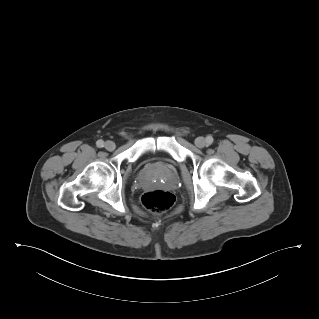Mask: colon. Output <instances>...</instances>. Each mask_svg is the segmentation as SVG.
<instances>
[{
  "mask_svg": "<svg viewBox=\"0 0 319 319\" xmlns=\"http://www.w3.org/2000/svg\"><path fill=\"white\" fill-rule=\"evenodd\" d=\"M141 202L148 211L159 214L173 206L175 197L169 191L150 190L143 193Z\"/></svg>",
  "mask_w": 319,
  "mask_h": 319,
  "instance_id": "colon-1",
  "label": "colon"
}]
</instances>
